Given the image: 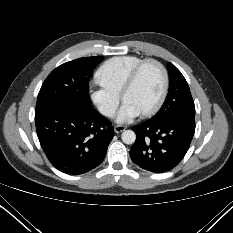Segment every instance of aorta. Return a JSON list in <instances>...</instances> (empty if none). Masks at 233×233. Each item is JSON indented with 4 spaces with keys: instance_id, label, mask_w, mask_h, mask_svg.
I'll list each match as a JSON object with an SVG mask.
<instances>
[{
    "instance_id": "762f6f07",
    "label": "aorta",
    "mask_w": 233,
    "mask_h": 233,
    "mask_svg": "<svg viewBox=\"0 0 233 233\" xmlns=\"http://www.w3.org/2000/svg\"><path fill=\"white\" fill-rule=\"evenodd\" d=\"M121 139L125 144H133L136 140V134L132 130H125L121 135Z\"/></svg>"
}]
</instances>
